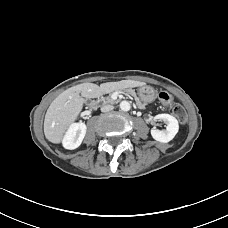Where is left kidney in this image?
Instances as JSON below:
<instances>
[{"instance_id": "1", "label": "left kidney", "mask_w": 228, "mask_h": 228, "mask_svg": "<svg viewBox=\"0 0 228 228\" xmlns=\"http://www.w3.org/2000/svg\"><path fill=\"white\" fill-rule=\"evenodd\" d=\"M154 120H162L166 123V129L164 130L151 129V135L156 141L168 143L178 133L179 123L175 117L169 114H158L154 117Z\"/></svg>"}]
</instances>
